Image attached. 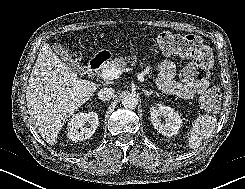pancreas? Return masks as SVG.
Here are the masks:
<instances>
[{
  "instance_id": "cf45deb5",
  "label": "pancreas",
  "mask_w": 245,
  "mask_h": 189,
  "mask_svg": "<svg viewBox=\"0 0 245 189\" xmlns=\"http://www.w3.org/2000/svg\"><path fill=\"white\" fill-rule=\"evenodd\" d=\"M139 59L135 56H128L126 57H120V58H115L114 60L110 61L108 65H105L102 70L105 69H112V68H125L127 63H132V62H137ZM140 64L143 66V63L140 62ZM147 73L150 72V67L147 66L146 69Z\"/></svg>"
}]
</instances>
